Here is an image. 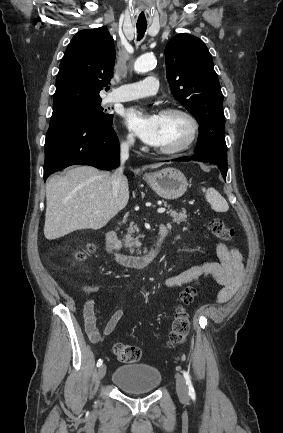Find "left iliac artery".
Listing matches in <instances>:
<instances>
[{
    "label": "left iliac artery",
    "instance_id": "44dca946",
    "mask_svg": "<svg viewBox=\"0 0 283 433\" xmlns=\"http://www.w3.org/2000/svg\"><path fill=\"white\" fill-rule=\"evenodd\" d=\"M183 376L186 380V384L188 385L189 396L192 399H195V391H194L193 385L191 383V377H190L189 373L186 371H183Z\"/></svg>",
    "mask_w": 283,
    "mask_h": 433
}]
</instances>
